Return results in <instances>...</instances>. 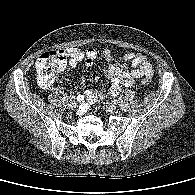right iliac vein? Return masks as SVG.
<instances>
[{
  "label": "right iliac vein",
  "mask_w": 195,
  "mask_h": 195,
  "mask_svg": "<svg viewBox=\"0 0 195 195\" xmlns=\"http://www.w3.org/2000/svg\"><path fill=\"white\" fill-rule=\"evenodd\" d=\"M76 107H77V103H76L75 101H71V102L69 103V108L75 109Z\"/></svg>",
  "instance_id": "63e3f726"
}]
</instances>
